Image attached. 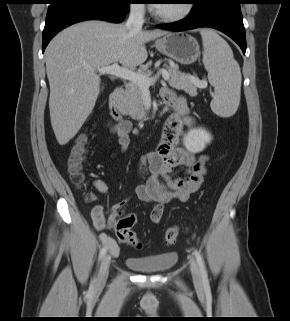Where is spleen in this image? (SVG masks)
<instances>
[{
    "label": "spleen",
    "mask_w": 290,
    "mask_h": 321,
    "mask_svg": "<svg viewBox=\"0 0 290 321\" xmlns=\"http://www.w3.org/2000/svg\"><path fill=\"white\" fill-rule=\"evenodd\" d=\"M203 43V64L208 80L215 88L212 111L221 117H230L238 109L241 95V71L228 43L214 30L200 31Z\"/></svg>",
    "instance_id": "1"
}]
</instances>
